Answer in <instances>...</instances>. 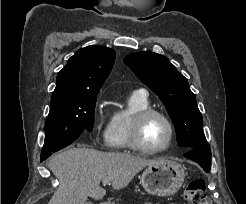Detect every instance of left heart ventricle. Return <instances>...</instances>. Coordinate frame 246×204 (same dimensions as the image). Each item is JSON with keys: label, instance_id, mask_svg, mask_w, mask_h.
I'll return each instance as SVG.
<instances>
[{"label": "left heart ventricle", "instance_id": "b2bd125f", "mask_svg": "<svg viewBox=\"0 0 246 204\" xmlns=\"http://www.w3.org/2000/svg\"><path fill=\"white\" fill-rule=\"evenodd\" d=\"M141 138L145 146L149 148H160L168 141L169 128L162 118L152 116L145 122Z\"/></svg>", "mask_w": 246, "mask_h": 204}]
</instances>
